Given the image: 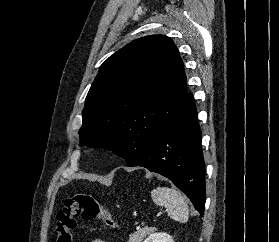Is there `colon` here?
<instances>
[{
    "mask_svg": "<svg viewBox=\"0 0 279 242\" xmlns=\"http://www.w3.org/2000/svg\"><path fill=\"white\" fill-rule=\"evenodd\" d=\"M102 220L109 227H116L117 222L109 210L97 202L89 194H75L64 200L63 207L57 213V242H72V232L77 226V220Z\"/></svg>",
    "mask_w": 279,
    "mask_h": 242,
    "instance_id": "colon-1",
    "label": "colon"
}]
</instances>
